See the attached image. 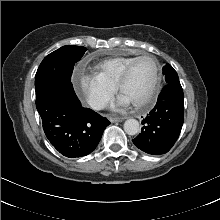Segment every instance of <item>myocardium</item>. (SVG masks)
I'll use <instances>...</instances> for the list:
<instances>
[{"label": "myocardium", "instance_id": "myocardium-1", "mask_svg": "<svg viewBox=\"0 0 220 220\" xmlns=\"http://www.w3.org/2000/svg\"><path fill=\"white\" fill-rule=\"evenodd\" d=\"M145 58H150L153 60L154 67H155V74H154V79H153L151 88L148 94L146 95V97L139 102L132 103V105L137 108H141V107L148 105L154 99L158 91V88L161 82V65L158 59L152 54H143V55L137 56L126 66L117 84V89L119 93H122V90L125 84L130 78L133 67L138 61L145 59Z\"/></svg>", "mask_w": 220, "mask_h": 220}]
</instances>
